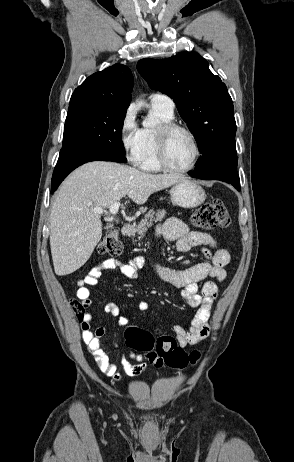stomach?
Listing matches in <instances>:
<instances>
[{
  "mask_svg": "<svg viewBox=\"0 0 294 462\" xmlns=\"http://www.w3.org/2000/svg\"><path fill=\"white\" fill-rule=\"evenodd\" d=\"M170 197L174 205L194 208L205 201L206 194L200 185L185 177L173 184L170 189Z\"/></svg>",
  "mask_w": 294,
  "mask_h": 462,
  "instance_id": "1",
  "label": "stomach"
}]
</instances>
